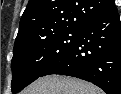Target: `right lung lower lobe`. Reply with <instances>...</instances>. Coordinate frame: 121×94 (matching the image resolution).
I'll return each mask as SVG.
<instances>
[{
	"instance_id": "right-lung-lower-lobe-1",
	"label": "right lung lower lobe",
	"mask_w": 121,
	"mask_h": 94,
	"mask_svg": "<svg viewBox=\"0 0 121 94\" xmlns=\"http://www.w3.org/2000/svg\"><path fill=\"white\" fill-rule=\"evenodd\" d=\"M50 74L77 77L107 94H121V22L115 5L81 25L74 47L42 76Z\"/></svg>"
}]
</instances>
